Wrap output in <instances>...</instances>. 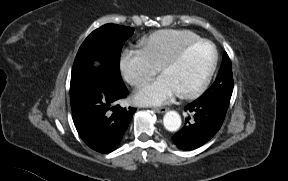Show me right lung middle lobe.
<instances>
[{"label":"right lung middle lobe","instance_id":"1","mask_svg":"<svg viewBox=\"0 0 288 181\" xmlns=\"http://www.w3.org/2000/svg\"><path fill=\"white\" fill-rule=\"evenodd\" d=\"M131 27L106 24L94 30L83 42L76 55L70 83V101L79 96L83 76L92 71L103 72L114 84H123L120 75V52L124 42L133 34ZM102 63L99 69L91 66L92 60Z\"/></svg>","mask_w":288,"mask_h":181}]
</instances>
